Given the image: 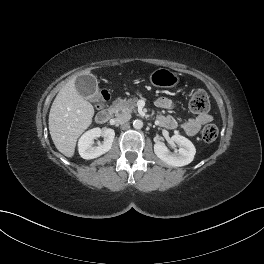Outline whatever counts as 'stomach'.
I'll return each mask as SVG.
<instances>
[{
  "label": "stomach",
  "mask_w": 264,
  "mask_h": 264,
  "mask_svg": "<svg viewBox=\"0 0 264 264\" xmlns=\"http://www.w3.org/2000/svg\"><path fill=\"white\" fill-rule=\"evenodd\" d=\"M149 79L152 85L160 88L175 87L180 81L179 76L167 68L156 69L150 74Z\"/></svg>",
  "instance_id": "1"
}]
</instances>
